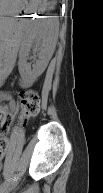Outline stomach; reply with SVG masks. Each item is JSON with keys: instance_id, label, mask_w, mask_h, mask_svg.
Instances as JSON below:
<instances>
[{"instance_id": "0dacf381", "label": "stomach", "mask_w": 103, "mask_h": 193, "mask_svg": "<svg viewBox=\"0 0 103 193\" xmlns=\"http://www.w3.org/2000/svg\"><path fill=\"white\" fill-rule=\"evenodd\" d=\"M40 0H0V15L4 24L10 17L36 11ZM6 48V47H5Z\"/></svg>"}]
</instances>
